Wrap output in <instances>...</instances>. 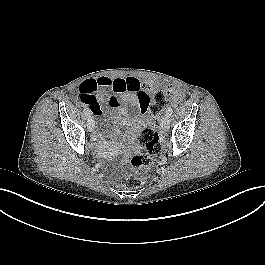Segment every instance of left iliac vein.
Returning a JSON list of instances; mask_svg holds the SVG:
<instances>
[{"instance_id": "obj_1", "label": "left iliac vein", "mask_w": 265, "mask_h": 265, "mask_svg": "<svg viewBox=\"0 0 265 265\" xmlns=\"http://www.w3.org/2000/svg\"><path fill=\"white\" fill-rule=\"evenodd\" d=\"M162 127L164 130H168L170 127L169 116L165 115L162 119Z\"/></svg>"}]
</instances>
